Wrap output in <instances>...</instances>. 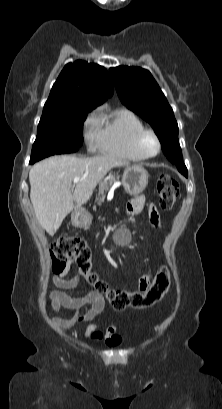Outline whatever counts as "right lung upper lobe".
Returning a JSON list of instances; mask_svg holds the SVG:
<instances>
[{
  "label": "right lung upper lobe",
  "instance_id": "cb5924a9",
  "mask_svg": "<svg viewBox=\"0 0 222 409\" xmlns=\"http://www.w3.org/2000/svg\"><path fill=\"white\" fill-rule=\"evenodd\" d=\"M113 92V84L104 67L77 60L64 67L43 110L73 106L97 107Z\"/></svg>",
  "mask_w": 222,
  "mask_h": 409
}]
</instances>
